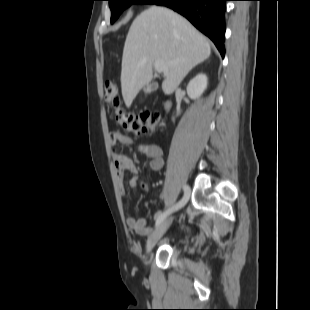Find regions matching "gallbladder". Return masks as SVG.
<instances>
[{
    "instance_id": "bac80fb5",
    "label": "gallbladder",
    "mask_w": 310,
    "mask_h": 310,
    "mask_svg": "<svg viewBox=\"0 0 310 310\" xmlns=\"http://www.w3.org/2000/svg\"><path fill=\"white\" fill-rule=\"evenodd\" d=\"M157 88H158V83H157V82H152V83H150V84L146 87L145 93H146V94L151 93V92L155 91Z\"/></svg>"
}]
</instances>
